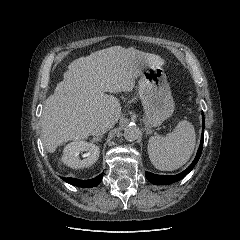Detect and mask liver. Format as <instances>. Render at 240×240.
Here are the masks:
<instances>
[{"mask_svg":"<svg viewBox=\"0 0 240 240\" xmlns=\"http://www.w3.org/2000/svg\"><path fill=\"white\" fill-rule=\"evenodd\" d=\"M145 64H164L153 54L113 46L80 57L69 65L42 112V142L48 152L72 140L87 139L101 121L110 128L121 116L118 98L130 92Z\"/></svg>","mask_w":240,"mask_h":240,"instance_id":"1","label":"liver"}]
</instances>
